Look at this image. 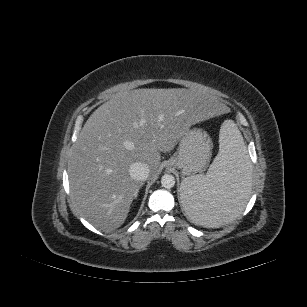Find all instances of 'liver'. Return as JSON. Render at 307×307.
I'll return each instance as SVG.
<instances>
[{"instance_id": "obj_1", "label": "liver", "mask_w": 307, "mask_h": 307, "mask_svg": "<svg viewBox=\"0 0 307 307\" xmlns=\"http://www.w3.org/2000/svg\"><path fill=\"white\" fill-rule=\"evenodd\" d=\"M226 111L219 97L192 90L136 89L120 92L88 118L68 165L71 197L96 228L111 232L126 220L142 182L131 178L142 162L155 177L161 152H170L189 127Z\"/></svg>"}]
</instances>
